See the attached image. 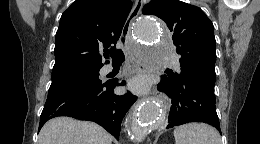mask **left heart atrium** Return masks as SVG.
I'll return each instance as SVG.
<instances>
[{"instance_id":"39dd6f15","label":"left heart atrium","mask_w":260,"mask_h":144,"mask_svg":"<svg viewBox=\"0 0 260 144\" xmlns=\"http://www.w3.org/2000/svg\"><path fill=\"white\" fill-rule=\"evenodd\" d=\"M130 86L132 89L138 92L145 91L148 87V82L143 77H135L131 80Z\"/></svg>"}]
</instances>
